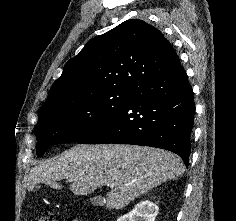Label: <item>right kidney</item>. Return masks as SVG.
I'll list each match as a JSON object with an SVG mask.
<instances>
[{
  "label": "right kidney",
  "mask_w": 236,
  "mask_h": 221,
  "mask_svg": "<svg viewBox=\"0 0 236 221\" xmlns=\"http://www.w3.org/2000/svg\"><path fill=\"white\" fill-rule=\"evenodd\" d=\"M158 210L155 203L145 200L138 203L131 212L121 216L117 221H155Z\"/></svg>",
  "instance_id": "right-kidney-1"
}]
</instances>
